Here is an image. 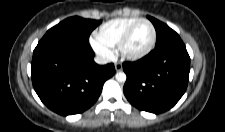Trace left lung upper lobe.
Instances as JSON below:
<instances>
[{
    "label": "left lung upper lobe",
    "mask_w": 225,
    "mask_h": 132,
    "mask_svg": "<svg viewBox=\"0 0 225 132\" xmlns=\"http://www.w3.org/2000/svg\"><path fill=\"white\" fill-rule=\"evenodd\" d=\"M149 20L153 23L156 33H157V40L155 47H158L160 45H163L165 43L181 40L179 35L172 30L169 26L166 24L156 20L155 18H152L150 16H147Z\"/></svg>",
    "instance_id": "1"
}]
</instances>
